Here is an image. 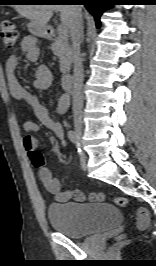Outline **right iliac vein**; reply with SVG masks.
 I'll use <instances>...</instances> for the list:
<instances>
[{
	"instance_id": "obj_1",
	"label": "right iliac vein",
	"mask_w": 156,
	"mask_h": 266,
	"mask_svg": "<svg viewBox=\"0 0 156 266\" xmlns=\"http://www.w3.org/2000/svg\"><path fill=\"white\" fill-rule=\"evenodd\" d=\"M75 131L78 134L79 137L82 136V132H83V127L82 124L80 122H75Z\"/></svg>"
}]
</instances>
